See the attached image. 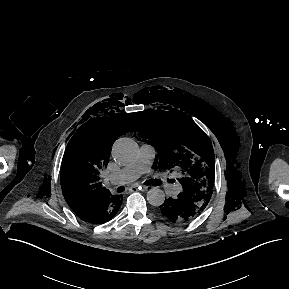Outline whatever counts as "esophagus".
Returning <instances> with one entry per match:
<instances>
[{"instance_id":"obj_1","label":"esophagus","mask_w":289,"mask_h":289,"mask_svg":"<svg viewBox=\"0 0 289 289\" xmlns=\"http://www.w3.org/2000/svg\"><path fill=\"white\" fill-rule=\"evenodd\" d=\"M138 187H140L142 190H145V191L150 188V186H146V185H141V186L134 185V186H132V188H134V189H137Z\"/></svg>"}]
</instances>
